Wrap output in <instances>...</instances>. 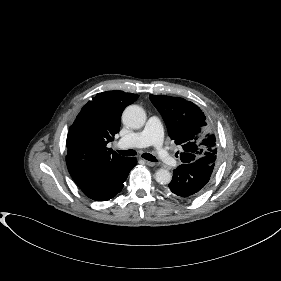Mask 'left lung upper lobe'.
<instances>
[{
  "label": "left lung upper lobe",
  "mask_w": 281,
  "mask_h": 281,
  "mask_svg": "<svg viewBox=\"0 0 281 281\" xmlns=\"http://www.w3.org/2000/svg\"><path fill=\"white\" fill-rule=\"evenodd\" d=\"M149 98L164 118L170 138L182 147L180 159L183 164L216 156L215 137L197 105L171 96L149 95Z\"/></svg>",
  "instance_id": "5c2ea615"
}]
</instances>
